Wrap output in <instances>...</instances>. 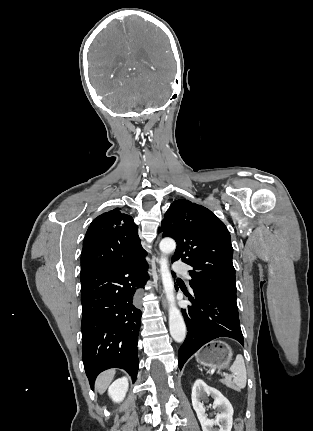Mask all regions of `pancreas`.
Wrapping results in <instances>:
<instances>
[{"mask_svg":"<svg viewBox=\"0 0 313 431\" xmlns=\"http://www.w3.org/2000/svg\"><path fill=\"white\" fill-rule=\"evenodd\" d=\"M227 386H228L229 388H232V389H235V390H236V387H235L232 383H227Z\"/></svg>","mask_w":313,"mask_h":431,"instance_id":"obj_1","label":"pancreas"}]
</instances>
